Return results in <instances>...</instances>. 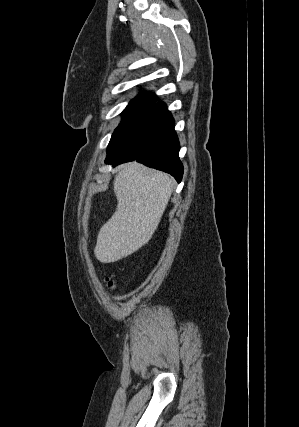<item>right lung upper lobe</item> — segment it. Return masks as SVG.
<instances>
[{
    "label": "right lung upper lobe",
    "mask_w": 299,
    "mask_h": 427,
    "mask_svg": "<svg viewBox=\"0 0 299 427\" xmlns=\"http://www.w3.org/2000/svg\"><path fill=\"white\" fill-rule=\"evenodd\" d=\"M157 100V97L154 93L144 92L139 94L134 101H142V102H150L155 103Z\"/></svg>",
    "instance_id": "obj_1"
}]
</instances>
